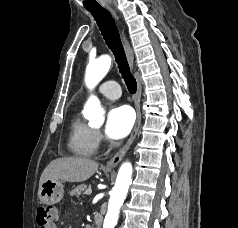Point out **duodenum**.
Listing matches in <instances>:
<instances>
[{
	"label": "duodenum",
	"mask_w": 238,
	"mask_h": 228,
	"mask_svg": "<svg viewBox=\"0 0 238 228\" xmlns=\"http://www.w3.org/2000/svg\"><path fill=\"white\" fill-rule=\"evenodd\" d=\"M93 222H94V227L93 228H102L103 225V217L101 214L96 213L93 215Z\"/></svg>",
	"instance_id": "duodenum-1"
}]
</instances>
